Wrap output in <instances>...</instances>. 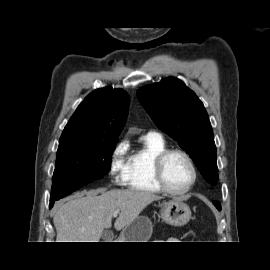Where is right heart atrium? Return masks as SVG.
I'll return each mask as SVG.
<instances>
[{
    "label": "right heart atrium",
    "instance_id": "right-heart-atrium-1",
    "mask_svg": "<svg viewBox=\"0 0 270 270\" xmlns=\"http://www.w3.org/2000/svg\"><path fill=\"white\" fill-rule=\"evenodd\" d=\"M129 145L126 140L120 141L113 148L109 158V173L115 185L126 183L128 158L126 157Z\"/></svg>",
    "mask_w": 270,
    "mask_h": 270
}]
</instances>
